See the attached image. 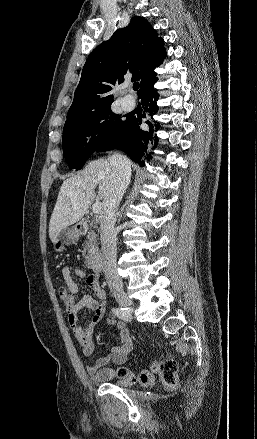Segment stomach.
<instances>
[{
    "label": "stomach",
    "mask_w": 257,
    "mask_h": 439,
    "mask_svg": "<svg viewBox=\"0 0 257 439\" xmlns=\"http://www.w3.org/2000/svg\"><path fill=\"white\" fill-rule=\"evenodd\" d=\"M80 235V231L77 226L67 227L61 231L57 240L53 243L55 252H62L65 245H71L75 243Z\"/></svg>",
    "instance_id": "0dacf381"
}]
</instances>
